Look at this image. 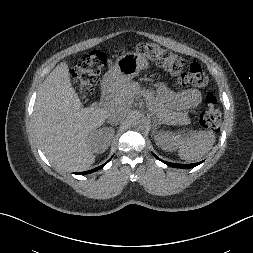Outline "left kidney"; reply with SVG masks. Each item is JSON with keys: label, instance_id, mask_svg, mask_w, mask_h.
<instances>
[{"label": "left kidney", "instance_id": "5707ae66", "mask_svg": "<svg viewBox=\"0 0 253 253\" xmlns=\"http://www.w3.org/2000/svg\"><path fill=\"white\" fill-rule=\"evenodd\" d=\"M155 142L158 147L166 151H172L173 145L171 142V136L163 131L155 137Z\"/></svg>", "mask_w": 253, "mask_h": 253}]
</instances>
